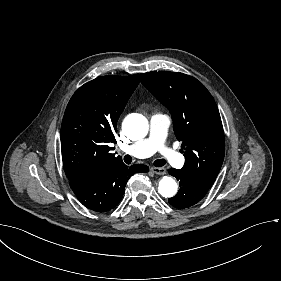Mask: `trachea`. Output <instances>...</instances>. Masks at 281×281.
<instances>
[{
	"label": "trachea",
	"mask_w": 281,
	"mask_h": 281,
	"mask_svg": "<svg viewBox=\"0 0 281 281\" xmlns=\"http://www.w3.org/2000/svg\"><path fill=\"white\" fill-rule=\"evenodd\" d=\"M124 162L127 163V164H130L132 162V157L130 155H125L124 156ZM165 164H167V160L166 159H157L155 162H154V165L156 167H162L164 166Z\"/></svg>",
	"instance_id": "1"
}]
</instances>
